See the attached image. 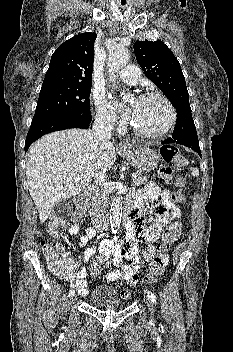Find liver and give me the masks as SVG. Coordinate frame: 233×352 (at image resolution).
Masks as SVG:
<instances>
[{
	"mask_svg": "<svg viewBox=\"0 0 233 352\" xmlns=\"http://www.w3.org/2000/svg\"><path fill=\"white\" fill-rule=\"evenodd\" d=\"M115 161L113 144L97 143L89 130L57 131L36 141L27 153L26 176L40 222L57 203L81 193Z\"/></svg>",
	"mask_w": 233,
	"mask_h": 352,
	"instance_id": "obj_1",
	"label": "liver"
}]
</instances>
